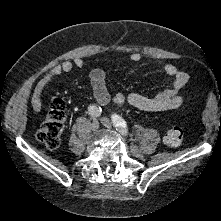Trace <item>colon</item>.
Returning <instances> with one entry per match:
<instances>
[{"mask_svg": "<svg viewBox=\"0 0 221 221\" xmlns=\"http://www.w3.org/2000/svg\"><path fill=\"white\" fill-rule=\"evenodd\" d=\"M66 121V105L60 98L54 99L39 127L36 138L49 149H56L61 141ZM183 140V131L179 126L172 125L164 136V141L171 147H179Z\"/></svg>", "mask_w": 221, "mask_h": 221, "instance_id": "obj_1", "label": "colon"}]
</instances>
